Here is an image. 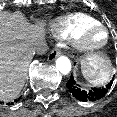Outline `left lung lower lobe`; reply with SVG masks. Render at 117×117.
Returning <instances> with one entry per match:
<instances>
[{
    "label": "left lung lower lobe",
    "mask_w": 117,
    "mask_h": 117,
    "mask_svg": "<svg viewBox=\"0 0 117 117\" xmlns=\"http://www.w3.org/2000/svg\"><path fill=\"white\" fill-rule=\"evenodd\" d=\"M112 83L113 80H111L110 83H108L105 87H95L91 88L90 90H85L75 82L73 76L71 75L70 79L67 82V87L75 98L80 101L87 102L96 101L104 97L110 89Z\"/></svg>",
    "instance_id": "obj_1"
}]
</instances>
